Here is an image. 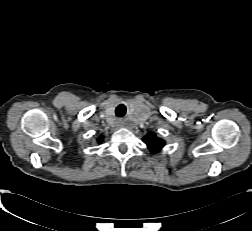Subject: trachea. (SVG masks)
<instances>
[{
  "mask_svg": "<svg viewBox=\"0 0 252 231\" xmlns=\"http://www.w3.org/2000/svg\"><path fill=\"white\" fill-rule=\"evenodd\" d=\"M116 116L122 117L126 113V107L123 104H120L115 110Z\"/></svg>",
  "mask_w": 252,
  "mask_h": 231,
  "instance_id": "3493384b",
  "label": "trachea"
}]
</instances>
